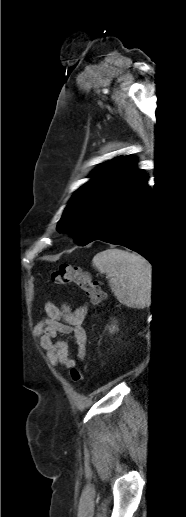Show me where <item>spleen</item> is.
<instances>
[{"mask_svg": "<svg viewBox=\"0 0 186 517\" xmlns=\"http://www.w3.org/2000/svg\"><path fill=\"white\" fill-rule=\"evenodd\" d=\"M93 266L106 273L109 285L119 302L132 308L151 304L152 266L143 257L120 249L97 253Z\"/></svg>", "mask_w": 186, "mask_h": 517, "instance_id": "spleen-1", "label": "spleen"}]
</instances>
